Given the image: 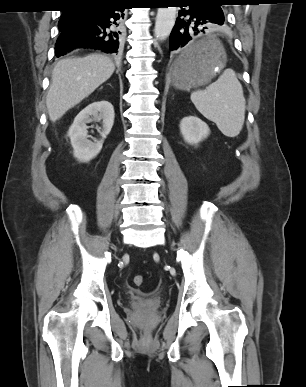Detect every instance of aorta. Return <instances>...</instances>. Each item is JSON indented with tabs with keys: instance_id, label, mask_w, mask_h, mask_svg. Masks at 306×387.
I'll return each instance as SVG.
<instances>
[{
	"instance_id": "obj_1",
	"label": "aorta",
	"mask_w": 306,
	"mask_h": 387,
	"mask_svg": "<svg viewBox=\"0 0 306 387\" xmlns=\"http://www.w3.org/2000/svg\"><path fill=\"white\" fill-rule=\"evenodd\" d=\"M176 7H159L156 16L154 36L164 41L170 35L176 20Z\"/></svg>"
}]
</instances>
